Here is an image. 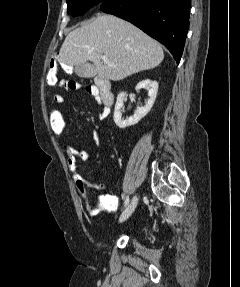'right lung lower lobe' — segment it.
<instances>
[{
    "mask_svg": "<svg viewBox=\"0 0 240 287\" xmlns=\"http://www.w3.org/2000/svg\"><path fill=\"white\" fill-rule=\"evenodd\" d=\"M190 0H105L100 10L125 19L164 44L179 64L189 29Z\"/></svg>",
    "mask_w": 240,
    "mask_h": 287,
    "instance_id": "obj_1",
    "label": "right lung lower lobe"
}]
</instances>
